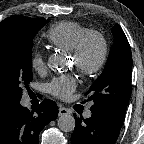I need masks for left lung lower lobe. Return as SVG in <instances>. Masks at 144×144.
Listing matches in <instances>:
<instances>
[{"instance_id": "1", "label": "left lung lower lobe", "mask_w": 144, "mask_h": 144, "mask_svg": "<svg viewBox=\"0 0 144 144\" xmlns=\"http://www.w3.org/2000/svg\"><path fill=\"white\" fill-rule=\"evenodd\" d=\"M92 116L86 120L76 118L71 144H115L123 119L101 109H90Z\"/></svg>"}]
</instances>
